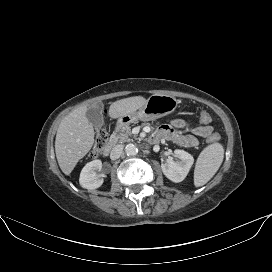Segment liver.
Wrapping results in <instances>:
<instances>
[{
  "label": "liver",
  "instance_id": "1",
  "mask_svg": "<svg viewBox=\"0 0 272 272\" xmlns=\"http://www.w3.org/2000/svg\"><path fill=\"white\" fill-rule=\"evenodd\" d=\"M146 101L147 99L142 96L115 101L110 105L108 114L111 118L122 117L137 111L145 105ZM86 112V106L76 108L62 119L58 127L55 153L65 175L73 171L78 161L90 151L94 144V128L88 121Z\"/></svg>",
  "mask_w": 272,
  "mask_h": 272
}]
</instances>
